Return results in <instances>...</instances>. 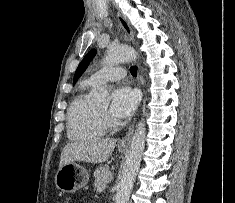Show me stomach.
<instances>
[{
    "mask_svg": "<svg viewBox=\"0 0 235 203\" xmlns=\"http://www.w3.org/2000/svg\"><path fill=\"white\" fill-rule=\"evenodd\" d=\"M120 152L126 148L118 147ZM89 180L88 171L82 166L72 162L59 167L55 175V184L59 190L66 193H73L84 187Z\"/></svg>",
    "mask_w": 235,
    "mask_h": 203,
    "instance_id": "0dacf381",
    "label": "stomach"
}]
</instances>
